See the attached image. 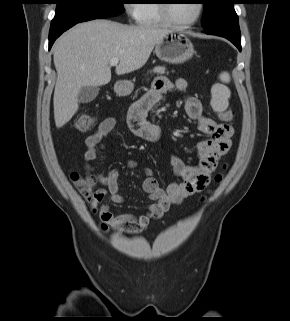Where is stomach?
<instances>
[{
    "mask_svg": "<svg viewBox=\"0 0 290 321\" xmlns=\"http://www.w3.org/2000/svg\"><path fill=\"white\" fill-rule=\"evenodd\" d=\"M194 47L190 39L181 32L171 31L155 45L156 56L164 62L180 64L189 60L194 54ZM134 88L130 81H118L114 90L119 96L129 95Z\"/></svg>",
    "mask_w": 290,
    "mask_h": 321,
    "instance_id": "1",
    "label": "stomach"
}]
</instances>
